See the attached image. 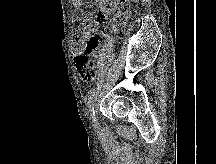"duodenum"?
<instances>
[{
  "label": "duodenum",
  "mask_w": 216,
  "mask_h": 164,
  "mask_svg": "<svg viewBox=\"0 0 216 164\" xmlns=\"http://www.w3.org/2000/svg\"><path fill=\"white\" fill-rule=\"evenodd\" d=\"M99 2H100V3H102V2H103V0H99Z\"/></svg>",
  "instance_id": "1"
}]
</instances>
